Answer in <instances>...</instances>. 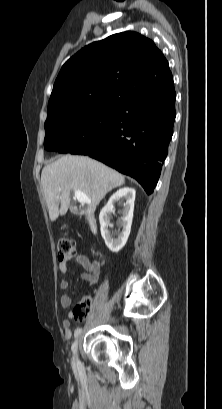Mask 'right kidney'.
<instances>
[{
    "mask_svg": "<svg viewBox=\"0 0 222 409\" xmlns=\"http://www.w3.org/2000/svg\"><path fill=\"white\" fill-rule=\"evenodd\" d=\"M135 190L133 188L124 187L115 192L108 200L105 207L102 209L99 215L101 224V235L105 241L106 246L110 251L117 253L126 244L131 231ZM123 203V209L121 211L122 217L118 226L122 228L121 232L111 233L108 225L110 223L111 214L115 211L114 204L116 202Z\"/></svg>",
    "mask_w": 222,
    "mask_h": 409,
    "instance_id": "1",
    "label": "right kidney"
}]
</instances>
